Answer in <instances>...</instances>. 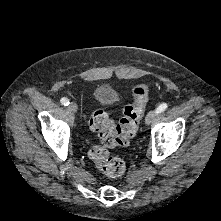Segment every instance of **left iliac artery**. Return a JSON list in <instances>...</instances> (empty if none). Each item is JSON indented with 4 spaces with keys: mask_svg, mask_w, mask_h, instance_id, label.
<instances>
[{
    "mask_svg": "<svg viewBox=\"0 0 221 221\" xmlns=\"http://www.w3.org/2000/svg\"><path fill=\"white\" fill-rule=\"evenodd\" d=\"M168 105L166 103H162L156 109V113L159 114L167 109Z\"/></svg>",
    "mask_w": 221,
    "mask_h": 221,
    "instance_id": "obj_1",
    "label": "left iliac artery"
}]
</instances>
